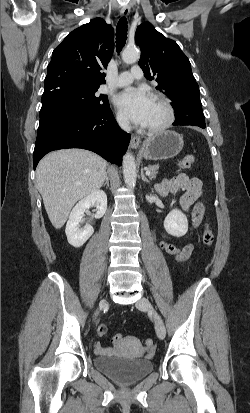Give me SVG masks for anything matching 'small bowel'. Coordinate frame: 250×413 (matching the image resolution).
Segmentation results:
<instances>
[{
	"mask_svg": "<svg viewBox=\"0 0 250 413\" xmlns=\"http://www.w3.org/2000/svg\"><path fill=\"white\" fill-rule=\"evenodd\" d=\"M157 190L163 196L174 194L179 191L184 192L180 198V205L185 211L192 208V225L188 233V235H190L194 229L199 226L204 212L203 205L198 202L202 190L201 181L197 178L189 177L184 173H180L173 178L163 180L157 185ZM160 247L177 263L186 262L193 251V246L191 244L176 246L166 235L163 236V240L160 242ZM122 341L123 337L119 341V345L113 346V348H105L102 347L100 343H97L95 345V352L99 355L113 354L118 351Z\"/></svg>",
	"mask_w": 250,
	"mask_h": 413,
	"instance_id": "1",
	"label": "small bowel"
}]
</instances>
